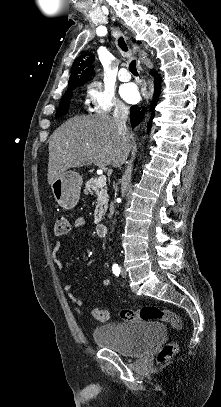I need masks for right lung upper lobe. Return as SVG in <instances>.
Returning a JSON list of instances; mask_svg holds the SVG:
<instances>
[{
	"mask_svg": "<svg viewBox=\"0 0 221 407\" xmlns=\"http://www.w3.org/2000/svg\"><path fill=\"white\" fill-rule=\"evenodd\" d=\"M93 61L94 55L91 53H85L75 59L67 90L75 89L77 86L91 80V77L94 75Z\"/></svg>",
	"mask_w": 221,
	"mask_h": 407,
	"instance_id": "obj_1",
	"label": "right lung upper lobe"
}]
</instances>
